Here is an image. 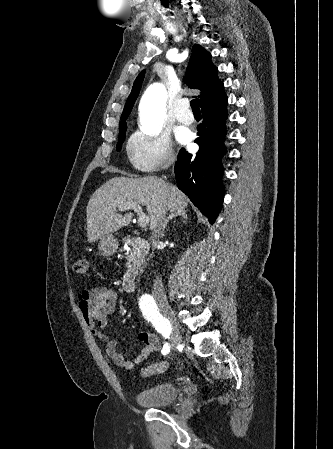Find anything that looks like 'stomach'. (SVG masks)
Segmentation results:
<instances>
[{
    "mask_svg": "<svg viewBox=\"0 0 333 449\" xmlns=\"http://www.w3.org/2000/svg\"><path fill=\"white\" fill-rule=\"evenodd\" d=\"M118 248L117 239L113 235H106L100 238L98 243V249L103 256L113 255Z\"/></svg>",
    "mask_w": 333,
    "mask_h": 449,
    "instance_id": "obj_1",
    "label": "stomach"
}]
</instances>
